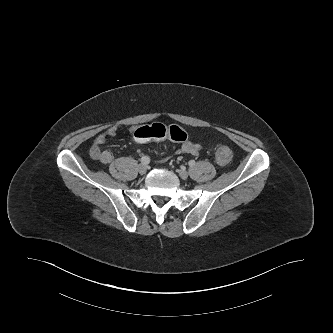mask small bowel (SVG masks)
Returning a JSON list of instances; mask_svg holds the SVG:
<instances>
[{"mask_svg": "<svg viewBox=\"0 0 333 333\" xmlns=\"http://www.w3.org/2000/svg\"><path fill=\"white\" fill-rule=\"evenodd\" d=\"M136 128L132 127L129 132L134 133ZM117 134V128L111 127L106 131L100 133L94 140L90 148V156L97 161L104 164H109L113 161L114 155L110 149L102 148V146L108 141L110 137ZM202 145L197 141L185 140L181 143V146L176 150L177 154H190L198 155L201 151Z\"/></svg>", "mask_w": 333, "mask_h": 333, "instance_id": "small-bowel-1", "label": "small bowel"}]
</instances>
